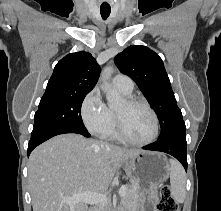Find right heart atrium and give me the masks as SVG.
I'll return each mask as SVG.
<instances>
[{
  "instance_id": "obj_1",
  "label": "right heart atrium",
  "mask_w": 221,
  "mask_h": 211,
  "mask_svg": "<svg viewBox=\"0 0 221 211\" xmlns=\"http://www.w3.org/2000/svg\"><path fill=\"white\" fill-rule=\"evenodd\" d=\"M80 114L92 134L104 136L114 124L113 112L102 99L98 89H92L83 99Z\"/></svg>"
}]
</instances>
